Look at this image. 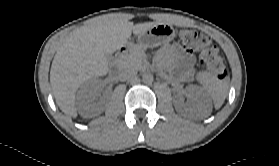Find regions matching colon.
I'll list each match as a JSON object with an SVG mask.
<instances>
[{
    "instance_id": "1",
    "label": "colon",
    "mask_w": 279,
    "mask_h": 166,
    "mask_svg": "<svg viewBox=\"0 0 279 166\" xmlns=\"http://www.w3.org/2000/svg\"><path fill=\"white\" fill-rule=\"evenodd\" d=\"M180 39L184 48L199 53L201 63L217 78H226L224 62L206 35L197 30L185 29L180 32Z\"/></svg>"
}]
</instances>
